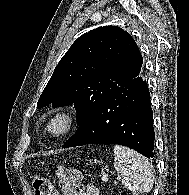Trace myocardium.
<instances>
[{
	"mask_svg": "<svg viewBox=\"0 0 189 195\" xmlns=\"http://www.w3.org/2000/svg\"><path fill=\"white\" fill-rule=\"evenodd\" d=\"M57 120H62L63 126L59 131H54L52 125ZM78 121L77 114L74 110L60 108L55 110L47 120L46 130L54 138H61L68 135L75 127Z\"/></svg>",
	"mask_w": 189,
	"mask_h": 195,
	"instance_id": "obj_1",
	"label": "myocardium"
}]
</instances>
